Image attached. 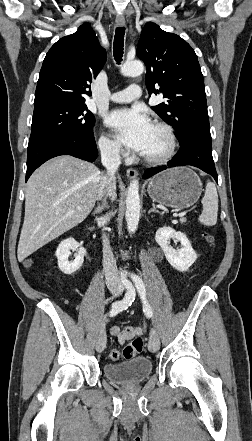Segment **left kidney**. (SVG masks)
Segmentation results:
<instances>
[{"instance_id": "5707ae66", "label": "left kidney", "mask_w": 252, "mask_h": 441, "mask_svg": "<svg viewBox=\"0 0 252 441\" xmlns=\"http://www.w3.org/2000/svg\"><path fill=\"white\" fill-rule=\"evenodd\" d=\"M171 238L178 240L182 248L175 250L169 246ZM155 240L162 248L170 265L181 272L187 271L197 259V255L186 235L182 232H176L171 227L164 226L159 228L156 231Z\"/></svg>"}]
</instances>
